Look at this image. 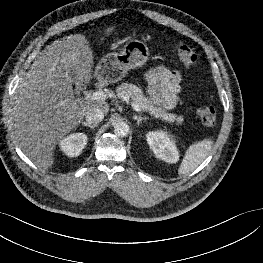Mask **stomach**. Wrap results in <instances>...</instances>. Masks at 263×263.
Instances as JSON below:
<instances>
[{
    "label": "stomach",
    "mask_w": 263,
    "mask_h": 263,
    "mask_svg": "<svg viewBox=\"0 0 263 263\" xmlns=\"http://www.w3.org/2000/svg\"><path fill=\"white\" fill-rule=\"evenodd\" d=\"M149 57L147 45L138 39H131L126 42L120 53L111 52L105 55L98 62L94 76L105 83L118 82L130 69L145 65Z\"/></svg>",
    "instance_id": "1"
}]
</instances>
